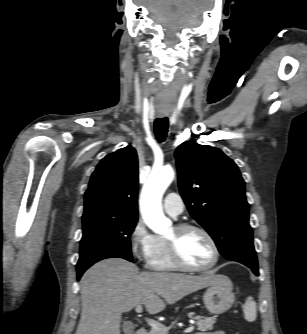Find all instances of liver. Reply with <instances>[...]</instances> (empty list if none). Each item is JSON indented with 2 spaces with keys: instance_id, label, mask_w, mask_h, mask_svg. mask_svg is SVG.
<instances>
[{
  "instance_id": "1",
  "label": "liver",
  "mask_w": 307,
  "mask_h": 334,
  "mask_svg": "<svg viewBox=\"0 0 307 334\" xmlns=\"http://www.w3.org/2000/svg\"><path fill=\"white\" fill-rule=\"evenodd\" d=\"M215 282L214 271L198 276L139 272L121 258L102 260L81 278L82 311L75 334H120L122 313L144 305L154 315Z\"/></svg>"
}]
</instances>
